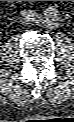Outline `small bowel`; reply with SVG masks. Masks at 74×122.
I'll use <instances>...</instances> for the list:
<instances>
[{
	"mask_svg": "<svg viewBox=\"0 0 74 122\" xmlns=\"http://www.w3.org/2000/svg\"><path fill=\"white\" fill-rule=\"evenodd\" d=\"M46 13L52 19L56 18V16H57V12H56V9L54 7H49L47 9Z\"/></svg>",
	"mask_w": 74,
	"mask_h": 122,
	"instance_id": "obj_1",
	"label": "small bowel"
}]
</instances>
